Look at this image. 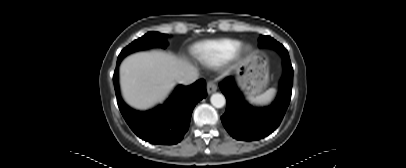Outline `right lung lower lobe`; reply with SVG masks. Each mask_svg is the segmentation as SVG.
<instances>
[{"instance_id": "1", "label": "right lung lower lobe", "mask_w": 406, "mask_h": 168, "mask_svg": "<svg viewBox=\"0 0 406 168\" xmlns=\"http://www.w3.org/2000/svg\"><path fill=\"white\" fill-rule=\"evenodd\" d=\"M113 75L119 109L132 131L152 144H177L183 139L190 124L195 105L206 97V82L203 79L189 86L178 85L163 104L139 111L128 106L121 97L118 68Z\"/></svg>"}]
</instances>
